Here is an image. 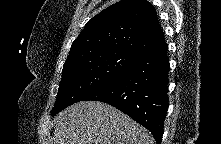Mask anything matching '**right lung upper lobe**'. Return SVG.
<instances>
[{
  "instance_id": "right-lung-upper-lobe-1",
  "label": "right lung upper lobe",
  "mask_w": 221,
  "mask_h": 144,
  "mask_svg": "<svg viewBox=\"0 0 221 144\" xmlns=\"http://www.w3.org/2000/svg\"><path fill=\"white\" fill-rule=\"evenodd\" d=\"M163 42L154 7L146 0H121L87 22L72 43L64 65L110 50L141 56Z\"/></svg>"
}]
</instances>
